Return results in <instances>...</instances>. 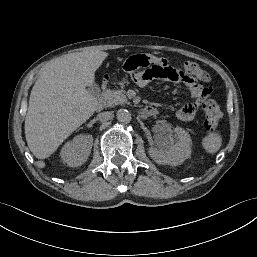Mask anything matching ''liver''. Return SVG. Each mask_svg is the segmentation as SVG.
<instances>
[{"instance_id": "obj_1", "label": "liver", "mask_w": 257, "mask_h": 257, "mask_svg": "<svg viewBox=\"0 0 257 257\" xmlns=\"http://www.w3.org/2000/svg\"><path fill=\"white\" fill-rule=\"evenodd\" d=\"M108 57L104 51L61 56L41 72L29 98L25 118L27 144L38 159H46L95 112L97 98L86 87Z\"/></svg>"}]
</instances>
